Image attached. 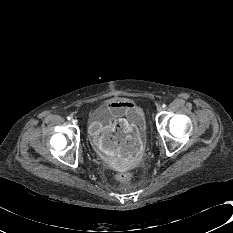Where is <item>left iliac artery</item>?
I'll return each mask as SVG.
<instances>
[{"instance_id":"44dca946","label":"left iliac artery","mask_w":233,"mask_h":233,"mask_svg":"<svg viewBox=\"0 0 233 233\" xmlns=\"http://www.w3.org/2000/svg\"><path fill=\"white\" fill-rule=\"evenodd\" d=\"M162 107L165 108V107H166V104H163Z\"/></svg>"}]
</instances>
